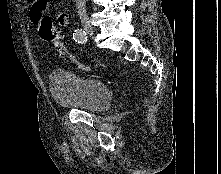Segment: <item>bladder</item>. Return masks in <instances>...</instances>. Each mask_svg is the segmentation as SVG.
I'll use <instances>...</instances> for the list:
<instances>
[{"label": "bladder", "mask_w": 221, "mask_h": 174, "mask_svg": "<svg viewBox=\"0 0 221 174\" xmlns=\"http://www.w3.org/2000/svg\"><path fill=\"white\" fill-rule=\"evenodd\" d=\"M49 84L52 99L63 107L99 112L107 109L112 103L111 89L95 77L58 68L50 74Z\"/></svg>", "instance_id": "obj_1"}]
</instances>
